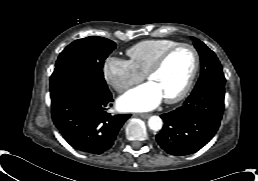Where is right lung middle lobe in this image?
<instances>
[{
	"label": "right lung middle lobe",
	"mask_w": 258,
	"mask_h": 181,
	"mask_svg": "<svg viewBox=\"0 0 258 181\" xmlns=\"http://www.w3.org/2000/svg\"><path fill=\"white\" fill-rule=\"evenodd\" d=\"M115 48L113 41L103 37L78 39L60 53L54 71L68 72L93 87L107 89L103 65Z\"/></svg>",
	"instance_id": "right-lung-middle-lobe-1"
}]
</instances>
